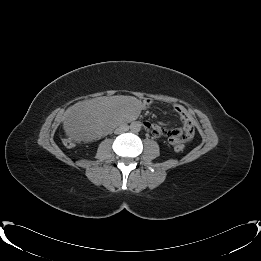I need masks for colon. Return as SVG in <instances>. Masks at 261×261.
<instances>
[{"instance_id": "5ec220e1", "label": "colon", "mask_w": 261, "mask_h": 261, "mask_svg": "<svg viewBox=\"0 0 261 261\" xmlns=\"http://www.w3.org/2000/svg\"><path fill=\"white\" fill-rule=\"evenodd\" d=\"M170 143L174 146L176 151H182L184 149L185 140L184 137L181 136H169Z\"/></svg>"}]
</instances>
